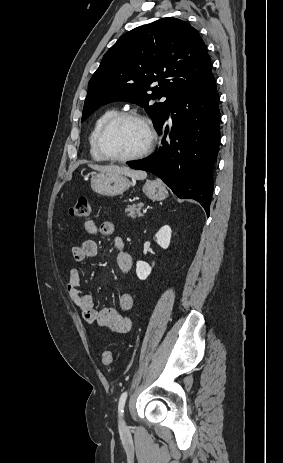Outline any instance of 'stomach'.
<instances>
[{"mask_svg":"<svg viewBox=\"0 0 283 463\" xmlns=\"http://www.w3.org/2000/svg\"><path fill=\"white\" fill-rule=\"evenodd\" d=\"M132 182L121 174L98 173L91 179V188L104 196H117L127 191ZM145 195L152 200H163L168 194L166 187L159 180H148L142 188Z\"/></svg>","mask_w":283,"mask_h":463,"instance_id":"1","label":"stomach"}]
</instances>
